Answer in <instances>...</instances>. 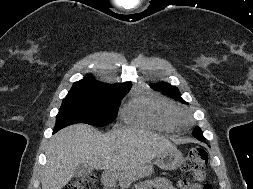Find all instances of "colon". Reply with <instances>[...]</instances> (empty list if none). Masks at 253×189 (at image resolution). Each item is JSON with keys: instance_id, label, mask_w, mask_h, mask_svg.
<instances>
[{"instance_id": "obj_1", "label": "colon", "mask_w": 253, "mask_h": 189, "mask_svg": "<svg viewBox=\"0 0 253 189\" xmlns=\"http://www.w3.org/2000/svg\"><path fill=\"white\" fill-rule=\"evenodd\" d=\"M208 163V153L201 147L190 149L187 156L183 160L182 170L193 175L198 180L204 178V170ZM95 175L89 174L71 181L64 189H94ZM186 185L185 182L182 183ZM203 189H213L210 183H206Z\"/></svg>"}]
</instances>
